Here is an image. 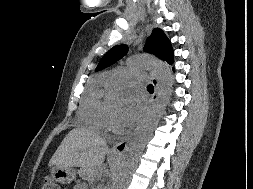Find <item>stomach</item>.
Returning <instances> with one entry per match:
<instances>
[{"mask_svg":"<svg viewBox=\"0 0 253 189\" xmlns=\"http://www.w3.org/2000/svg\"><path fill=\"white\" fill-rule=\"evenodd\" d=\"M53 179L60 184H70L75 178L72 167L55 166L52 168Z\"/></svg>","mask_w":253,"mask_h":189,"instance_id":"0dacf381","label":"stomach"}]
</instances>
